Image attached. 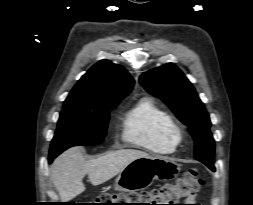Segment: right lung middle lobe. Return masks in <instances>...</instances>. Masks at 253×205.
I'll return each mask as SVG.
<instances>
[{"mask_svg": "<svg viewBox=\"0 0 253 205\" xmlns=\"http://www.w3.org/2000/svg\"><path fill=\"white\" fill-rule=\"evenodd\" d=\"M121 99L106 101L97 107L64 106L49 155H59L75 145H97L106 136L109 111Z\"/></svg>", "mask_w": 253, "mask_h": 205, "instance_id": "obj_1", "label": "right lung middle lobe"}]
</instances>
